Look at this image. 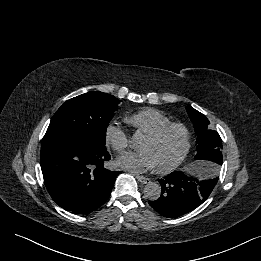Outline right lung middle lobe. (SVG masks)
Here are the masks:
<instances>
[{
  "label": "right lung middle lobe",
  "instance_id": "right-lung-middle-lobe-1",
  "mask_svg": "<svg viewBox=\"0 0 261 261\" xmlns=\"http://www.w3.org/2000/svg\"><path fill=\"white\" fill-rule=\"evenodd\" d=\"M119 100L102 92H88L66 101L54 114L41 148L69 142L105 146L106 129Z\"/></svg>",
  "mask_w": 261,
  "mask_h": 261
}]
</instances>
